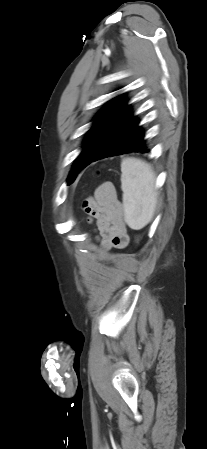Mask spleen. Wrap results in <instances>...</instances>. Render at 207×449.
Returning a JSON list of instances; mask_svg holds the SVG:
<instances>
[{"instance_id":"obj_1","label":"spleen","mask_w":207,"mask_h":449,"mask_svg":"<svg viewBox=\"0 0 207 449\" xmlns=\"http://www.w3.org/2000/svg\"><path fill=\"white\" fill-rule=\"evenodd\" d=\"M121 172L124 218L130 228L140 230L156 209L155 173L148 163L136 158L123 159Z\"/></svg>"}]
</instances>
